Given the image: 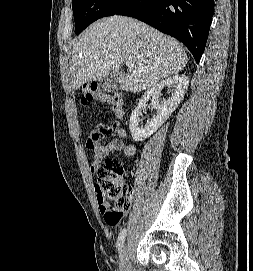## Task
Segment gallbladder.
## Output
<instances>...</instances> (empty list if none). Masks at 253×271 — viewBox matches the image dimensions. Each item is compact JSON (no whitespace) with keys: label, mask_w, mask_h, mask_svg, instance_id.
<instances>
[{"label":"gallbladder","mask_w":253,"mask_h":271,"mask_svg":"<svg viewBox=\"0 0 253 271\" xmlns=\"http://www.w3.org/2000/svg\"><path fill=\"white\" fill-rule=\"evenodd\" d=\"M124 76V72L119 70L118 72L112 73L111 75L104 78L102 81V88L106 92H113L117 86L121 83Z\"/></svg>","instance_id":"bac80fb5"}]
</instances>
